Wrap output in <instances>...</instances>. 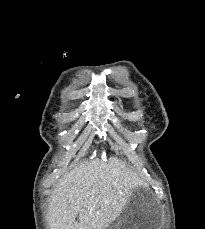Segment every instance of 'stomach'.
Here are the masks:
<instances>
[{
  "instance_id": "stomach-1",
  "label": "stomach",
  "mask_w": 205,
  "mask_h": 229,
  "mask_svg": "<svg viewBox=\"0 0 205 229\" xmlns=\"http://www.w3.org/2000/svg\"><path fill=\"white\" fill-rule=\"evenodd\" d=\"M163 219L159 203L148 196L132 197L120 215L107 229H162Z\"/></svg>"
}]
</instances>
